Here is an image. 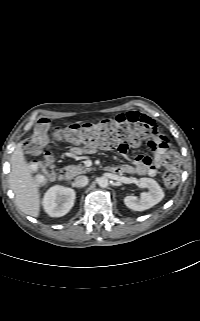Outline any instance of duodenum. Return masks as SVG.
Segmentation results:
<instances>
[{
	"mask_svg": "<svg viewBox=\"0 0 200 321\" xmlns=\"http://www.w3.org/2000/svg\"><path fill=\"white\" fill-rule=\"evenodd\" d=\"M113 167H109V170L112 172H115L112 170ZM59 178L63 181H67L71 178V172L67 168H62L59 172Z\"/></svg>",
	"mask_w": 200,
	"mask_h": 321,
	"instance_id": "obj_1",
	"label": "duodenum"
}]
</instances>
